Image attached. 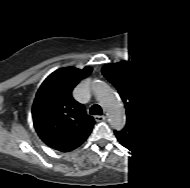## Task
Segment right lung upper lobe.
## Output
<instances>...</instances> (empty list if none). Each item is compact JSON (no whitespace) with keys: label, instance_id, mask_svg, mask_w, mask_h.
Listing matches in <instances>:
<instances>
[{"label":"right lung upper lobe","instance_id":"right-lung-upper-lobe-1","mask_svg":"<svg viewBox=\"0 0 190 188\" xmlns=\"http://www.w3.org/2000/svg\"><path fill=\"white\" fill-rule=\"evenodd\" d=\"M91 68H61L40 86L32 109L34 127L49 147L67 152L80 146L92 131L94 119L72 97L74 87Z\"/></svg>","mask_w":190,"mask_h":188}]
</instances>
